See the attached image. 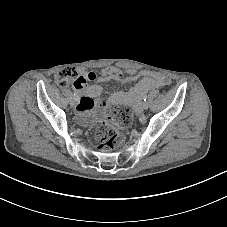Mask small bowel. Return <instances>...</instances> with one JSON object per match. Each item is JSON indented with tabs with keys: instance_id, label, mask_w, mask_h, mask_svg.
Segmentation results:
<instances>
[{
	"instance_id": "small-bowel-1",
	"label": "small bowel",
	"mask_w": 227,
	"mask_h": 227,
	"mask_svg": "<svg viewBox=\"0 0 227 227\" xmlns=\"http://www.w3.org/2000/svg\"><path fill=\"white\" fill-rule=\"evenodd\" d=\"M127 75L116 67H108L97 75L93 71L79 70L78 78L74 81V89L81 95L76 107V116L80 123L87 124L90 120L89 114L95 107L96 101L102 94L103 88L99 84L87 85L89 81L107 82L110 80L132 81L136 78L134 70H127ZM170 80L161 74L143 78L130 92H117L102 103V107L113 104L129 103L139 109L140 100L148 91L169 85Z\"/></svg>"
}]
</instances>
